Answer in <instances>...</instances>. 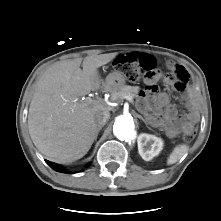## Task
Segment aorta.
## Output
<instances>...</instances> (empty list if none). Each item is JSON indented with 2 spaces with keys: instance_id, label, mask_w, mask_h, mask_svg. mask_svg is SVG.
<instances>
[{
  "instance_id": "762f6f07",
  "label": "aorta",
  "mask_w": 221,
  "mask_h": 221,
  "mask_svg": "<svg viewBox=\"0 0 221 221\" xmlns=\"http://www.w3.org/2000/svg\"><path fill=\"white\" fill-rule=\"evenodd\" d=\"M114 135L120 140H129L135 135V124L133 117L128 114L116 118L113 126Z\"/></svg>"
}]
</instances>
